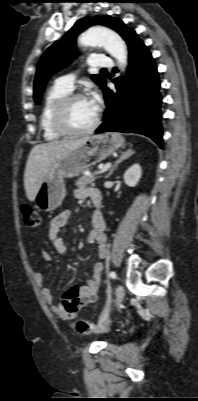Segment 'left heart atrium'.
<instances>
[{
    "label": "left heart atrium",
    "mask_w": 198,
    "mask_h": 401,
    "mask_svg": "<svg viewBox=\"0 0 198 401\" xmlns=\"http://www.w3.org/2000/svg\"><path fill=\"white\" fill-rule=\"evenodd\" d=\"M91 103L98 109L100 104V97L96 92H93L89 97Z\"/></svg>",
    "instance_id": "obj_1"
}]
</instances>
